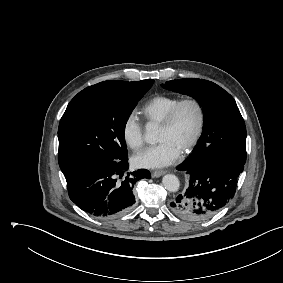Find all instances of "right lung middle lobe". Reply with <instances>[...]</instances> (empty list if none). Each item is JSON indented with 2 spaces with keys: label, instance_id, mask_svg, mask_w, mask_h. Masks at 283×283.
Segmentation results:
<instances>
[{
  "label": "right lung middle lobe",
  "instance_id": "dd1d6c3e",
  "mask_svg": "<svg viewBox=\"0 0 283 283\" xmlns=\"http://www.w3.org/2000/svg\"><path fill=\"white\" fill-rule=\"evenodd\" d=\"M154 80L109 93H78L67 106L58 129L61 171L93 160H124V130L137 102Z\"/></svg>",
  "mask_w": 283,
  "mask_h": 283
}]
</instances>
